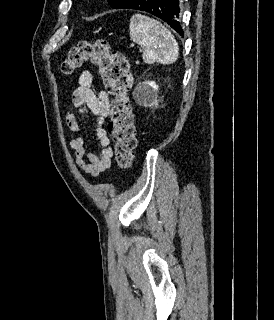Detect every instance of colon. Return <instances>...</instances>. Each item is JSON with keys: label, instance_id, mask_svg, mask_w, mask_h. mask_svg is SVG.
<instances>
[{"label": "colon", "instance_id": "5ec220e1", "mask_svg": "<svg viewBox=\"0 0 274 320\" xmlns=\"http://www.w3.org/2000/svg\"><path fill=\"white\" fill-rule=\"evenodd\" d=\"M99 68L100 76L112 96L109 132L115 142V158L121 169L131 168L136 148L135 119L129 98L132 76L125 55L112 51L106 40L82 43L71 47L60 70L73 74L84 64Z\"/></svg>", "mask_w": 274, "mask_h": 320}]
</instances>
